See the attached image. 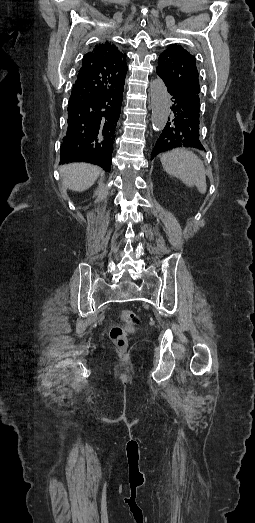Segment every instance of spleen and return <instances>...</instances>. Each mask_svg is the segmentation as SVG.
I'll use <instances>...</instances> for the list:
<instances>
[{"instance_id": "obj_1", "label": "spleen", "mask_w": 255, "mask_h": 523, "mask_svg": "<svg viewBox=\"0 0 255 523\" xmlns=\"http://www.w3.org/2000/svg\"><path fill=\"white\" fill-rule=\"evenodd\" d=\"M160 162L167 174L179 178L186 186H196L200 194L207 190L205 168L196 154L184 148H176L162 154Z\"/></svg>"}]
</instances>
